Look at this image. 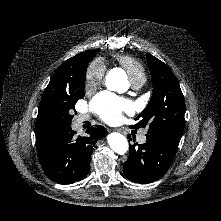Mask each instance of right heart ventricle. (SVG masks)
I'll list each match as a JSON object with an SVG mask.
<instances>
[{"label": "right heart ventricle", "instance_id": "obj_1", "mask_svg": "<svg viewBox=\"0 0 221 221\" xmlns=\"http://www.w3.org/2000/svg\"><path fill=\"white\" fill-rule=\"evenodd\" d=\"M116 61L127 71L131 83L145 80L144 67L138 60L127 55H119L116 57Z\"/></svg>", "mask_w": 221, "mask_h": 221}]
</instances>
